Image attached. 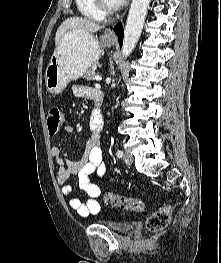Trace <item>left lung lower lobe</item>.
Wrapping results in <instances>:
<instances>
[{
    "mask_svg": "<svg viewBox=\"0 0 221 263\" xmlns=\"http://www.w3.org/2000/svg\"><path fill=\"white\" fill-rule=\"evenodd\" d=\"M114 31L118 35V41H119L120 46H122V44H123V34H124L123 28H122V24L121 23L117 24L114 27Z\"/></svg>",
    "mask_w": 221,
    "mask_h": 263,
    "instance_id": "0a47b994",
    "label": "left lung lower lobe"
}]
</instances>
